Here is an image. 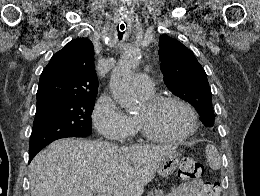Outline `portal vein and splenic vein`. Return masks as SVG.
<instances>
[{
  "instance_id": "1",
  "label": "portal vein and splenic vein",
  "mask_w": 260,
  "mask_h": 196,
  "mask_svg": "<svg viewBox=\"0 0 260 196\" xmlns=\"http://www.w3.org/2000/svg\"><path fill=\"white\" fill-rule=\"evenodd\" d=\"M96 196H112V192H106V194H100V192H96Z\"/></svg>"
}]
</instances>
